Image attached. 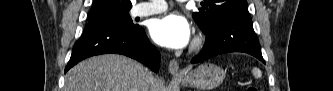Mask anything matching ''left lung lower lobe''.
<instances>
[{
	"label": "left lung lower lobe",
	"instance_id": "0a47b994",
	"mask_svg": "<svg viewBox=\"0 0 333 91\" xmlns=\"http://www.w3.org/2000/svg\"><path fill=\"white\" fill-rule=\"evenodd\" d=\"M205 35V45L191 60L193 64L230 52L248 53L264 63L250 14L225 17Z\"/></svg>",
	"mask_w": 333,
	"mask_h": 91
}]
</instances>
